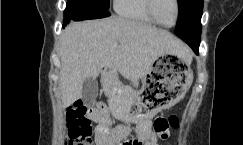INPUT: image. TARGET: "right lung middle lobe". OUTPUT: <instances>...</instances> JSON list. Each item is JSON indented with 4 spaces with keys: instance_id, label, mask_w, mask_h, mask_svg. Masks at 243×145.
<instances>
[{
    "instance_id": "obj_1",
    "label": "right lung middle lobe",
    "mask_w": 243,
    "mask_h": 145,
    "mask_svg": "<svg viewBox=\"0 0 243 145\" xmlns=\"http://www.w3.org/2000/svg\"><path fill=\"white\" fill-rule=\"evenodd\" d=\"M70 2L88 3L106 11L109 9L110 6V0H68V3Z\"/></svg>"
}]
</instances>
